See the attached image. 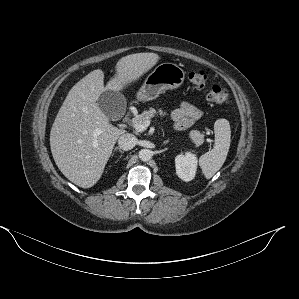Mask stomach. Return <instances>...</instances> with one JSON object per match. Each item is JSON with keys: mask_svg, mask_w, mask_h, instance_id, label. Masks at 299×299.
<instances>
[{"mask_svg": "<svg viewBox=\"0 0 299 299\" xmlns=\"http://www.w3.org/2000/svg\"><path fill=\"white\" fill-rule=\"evenodd\" d=\"M185 79V72L175 63L158 65L145 79L137 92V101L146 102L157 98L164 90L179 88Z\"/></svg>", "mask_w": 299, "mask_h": 299, "instance_id": "1", "label": "stomach"}]
</instances>
